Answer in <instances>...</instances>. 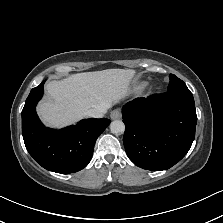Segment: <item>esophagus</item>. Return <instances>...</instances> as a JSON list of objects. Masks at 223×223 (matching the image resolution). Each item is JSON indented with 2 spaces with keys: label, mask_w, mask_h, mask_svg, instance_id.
<instances>
[{
  "label": "esophagus",
  "mask_w": 223,
  "mask_h": 223,
  "mask_svg": "<svg viewBox=\"0 0 223 223\" xmlns=\"http://www.w3.org/2000/svg\"><path fill=\"white\" fill-rule=\"evenodd\" d=\"M110 117H111V119L115 120V119H120L122 117V115L119 110H114L111 112Z\"/></svg>",
  "instance_id": "obj_1"
}]
</instances>
